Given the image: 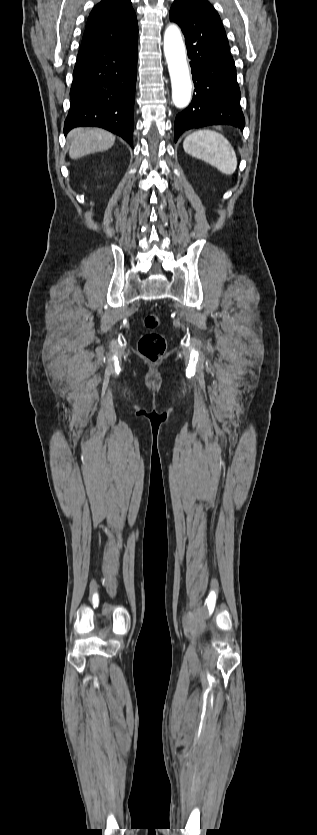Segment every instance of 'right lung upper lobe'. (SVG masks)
<instances>
[{
	"mask_svg": "<svg viewBox=\"0 0 317 835\" xmlns=\"http://www.w3.org/2000/svg\"><path fill=\"white\" fill-rule=\"evenodd\" d=\"M135 35L138 25L130 0H102L88 17L82 44L118 45Z\"/></svg>",
	"mask_w": 317,
	"mask_h": 835,
	"instance_id": "cb5924a9",
	"label": "right lung upper lobe"
}]
</instances>
